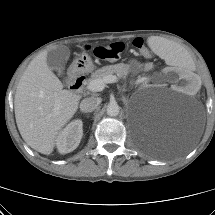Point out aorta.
I'll return each instance as SVG.
<instances>
[{"label":"aorta","mask_w":215,"mask_h":215,"mask_svg":"<svg viewBox=\"0 0 215 215\" xmlns=\"http://www.w3.org/2000/svg\"><path fill=\"white\" fill-rule=\"evenodd\" d=\"M106 112L108 116L115 117L119 114L120 107L116 102H111L108 104Z\"/></svg>","instance_id":"1"}]
</instances>
